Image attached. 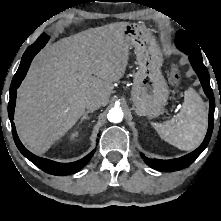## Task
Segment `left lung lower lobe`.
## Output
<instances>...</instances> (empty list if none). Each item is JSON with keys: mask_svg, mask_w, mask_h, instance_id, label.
Wrapping results in <instances>:
<instances>
[{"mask_svg": "<svg viewBox=\"0 0 221 221\" xmlns=\"http://www.w3.org/2000/svg\"><path fill=\"white\" fill-rule=\"evenodd\" d=\"M189 60L195 72L197 73L202 87L204 89L205 94L210 100V108H209V128L207 131V135L200 145L195 151L191 152L188 155H185L181 158L172 159V160H159V159H149L145 157V155L141 154L142 158L145 162L152 168L159 170V171H177L188 167L192 164L195 159L202 153V151L206 148L211 138L213 124H214V109H215V102H214V95L212 89L210 87V76L208 74L207 68L203 64L202 59H198L196 57L189 55Z\"/></svg>", "mask_w": 221, "mask_h": 221, "instance_id": "left-lung-lower-lobe-1", "label": "left lung lower lobe"}]
</instances>
